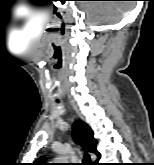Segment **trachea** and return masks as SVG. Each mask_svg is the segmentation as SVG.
Masks as SVG:
<instances>
[{
    "mask_svg": "<svg viewBox=\"0 0 154 165\" xmlns=\"http://www.w3.org/2000/svg\"><path fill=\"white\" fill-rule=\"evenodd\" d=\"M81 165H91V159L90 156L88 154H86L83 158V163H81Z\"/></svg>",
    "mask_w": 154,
    "mask_h": 165,
    "instance_id": "3493384b",
    "label": "trachea"
}]
</instances>
